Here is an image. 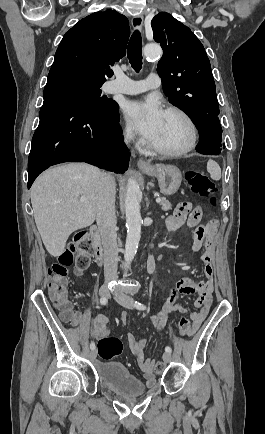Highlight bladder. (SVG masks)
<instances>
[{"instance_id": "31cf9c89", "label": "bladder", "mask_w": 265, "mask_h": 434, "mask_svg": "<svg viewBox=\"0 0 265 434\" xmlns=\"http://www.w3.org/2000/svg\"><path fill=\"white\" fill-rule=\"evenodd\" d=\"M99 378L116 394L124 398H136L143 395L147 388L128 369L117 361H99L96 364Z\"/></svg>"}]
</instances>
